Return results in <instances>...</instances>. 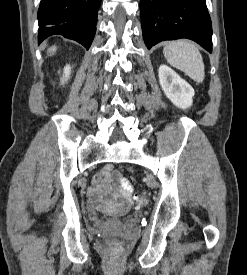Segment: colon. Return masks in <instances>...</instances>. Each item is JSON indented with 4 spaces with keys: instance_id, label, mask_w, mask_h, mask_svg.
<instances>
[{
    "instance_id": "1",
    "label": "colon",
    "mask_w": 247,
    "mask_h": 275,
    "mask_svg": "<svg viewBox=\"0 0 247 275\" xmlns=\"http://www.w3.org/2000/svg\"><path fill=\"white\" fill-rule=\"evenodd\" d=\"M102 179H103V175H98L95 178V180L98 182L101 181ZM147 199H148V194H147V191H145V190L139 192L135 196V200L139 206H144L147 203Z\"/></svg>"
}]
</instances>
